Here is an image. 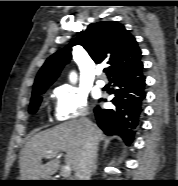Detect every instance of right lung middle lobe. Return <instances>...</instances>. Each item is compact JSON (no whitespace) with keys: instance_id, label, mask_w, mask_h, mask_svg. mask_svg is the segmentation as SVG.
Wrapping results in <instances>:
<instances>
[{"instance_id":"right-lung-middle-lobe-1","label":"right lung middle lobe","mask_w":178,"mask_h":186,"mask_svg":"<svg viewBox=\"0 0 178 186\" xmlns=\"http://www.w3.org/2000/svg\"><path fill=\"white\" fill-rule=\"evenodd\" d=\"M45 90L46 89L40 90L36 94L32 95L29 113L34 114L37 111L42 100L41 95L45 92Z\"/></svg>"}]
</instances>
